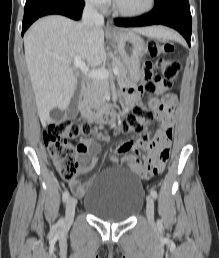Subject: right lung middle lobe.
I'll return each mask as SVG.
<instances>
[{"mask_svg": "<svg viewBox=\"0 0 219 258\" xmlns=\"http://www.w3.org/2000/svg\"><path fill=\"white\" fill-rule=\"evenodd\" d=\"M36 1H38V0H26L25 7H28V6L32 5V4L35 3Z\"/></svg>", "mask_w": 219, "mask_h": 258, "instance_id": "obj_1", "label": "right lung middle lobe"}]
</instances>
